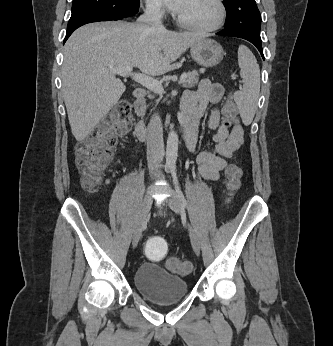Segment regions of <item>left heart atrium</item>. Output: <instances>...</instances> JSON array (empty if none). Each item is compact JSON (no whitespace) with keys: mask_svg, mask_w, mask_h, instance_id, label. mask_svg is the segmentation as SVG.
<instances>
[{"mask_svg":"<svg viewBox=\"0 0 333 346\" xmlns=\"http://www.w3.org/2000/svg\"><path fill=\"white\" fill-rule=\"evenodd\" d=\"M165 5L173 12L179 14L188 0H163Z\"/></svg>","mask_w":333,"mask_h":346,"instance_id":"39dd6f15","label":"left heart atrium"}]
</instances>
